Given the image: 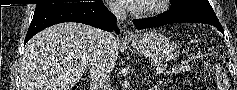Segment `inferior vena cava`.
<instances>
[{"label": "inferior vena cava", "mask_w": 237, "mask_h": 90, "mask_svg": "<svg viewBox=\"0 0 237 90\" xmlns=\"http://www.w3.org/2000/svg\"><path fill=\"white\" fill-rule=\"evenodd\" d=\"M108 10L117 20L127 18L123 6L111 4ZM118 46L119 42L113 32H102L98 50L86 64L90 74V90H111L110 74L117 60Z\"/></svg>", "instance_id": "inferior-vena-cava-1"}]
</instances>
